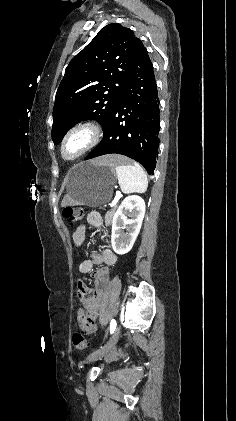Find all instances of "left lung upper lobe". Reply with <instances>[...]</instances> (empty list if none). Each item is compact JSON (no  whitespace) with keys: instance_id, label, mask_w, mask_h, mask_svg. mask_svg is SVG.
I'll return each mask as SVG.
<instances>
[{"instance_id":"left-lung-upper-lobe-1","label":"left lung upper lobe","mask_w":236,"mask_h":421,"mask_svg":"<svg viewBox=\"0 0 236 421\" xmlns=\"http://www.w3.org/2000/svg\"><path fill=\"white\" fill-rule=\"evenodd\" d=\"M142 45L131 29L112 23L70 61L53 108L55 145L82 120L94 119L104 127Z\"/></svg>"}]
</instances>
